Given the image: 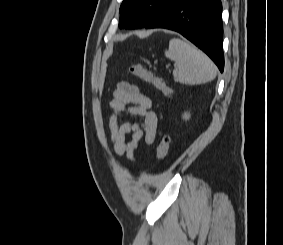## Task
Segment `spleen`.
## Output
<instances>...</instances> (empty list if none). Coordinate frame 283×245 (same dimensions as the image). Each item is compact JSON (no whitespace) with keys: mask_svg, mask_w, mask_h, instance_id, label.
<instances>
[{"mask_svg":"<svg viewBox=\"0 0 283 245\" xmlns=\"http://www.w3.org/2000/svg\"><path fill=\"white\" fill-rule=\"evenodd\" d=\"M165 56L175 62L173 76L182 84L206 83L216 77L217 68L214 63L202 51L186 41L171 39Z\"/></svg>","mask_w":283,"mask_h":245,"instance_id":"3e777b00","label":"spleen"}]
</instances>
